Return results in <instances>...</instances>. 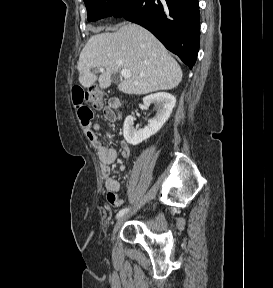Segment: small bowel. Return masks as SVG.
Segmentation results:
<instances>
[{"mask_svg": "<svg viewBox=\"0 0 273 288\" xmlns=\"http://www.w3.org/2000/svg\"><path fill=\"white\" fill-rule=\"evenodd\" d=\"M119 103L110 102L103 111L104 117L110 122H115L118 118L116 109ZM100 126L94 124L92 127L86 128V134L94 148L97 150L98 158L101 162V172L103 175L104 187L107 191V201L113 207H118L123 203L119 195L120 184L119 181L113 176L111 165L117 158V152L113 148L105 147L99 140L96 132ZM130 153L129 146L126 143L122 144V156L127 159Z\"/></svg>", "mask_w": 273, "mask_h": 288, "instance_id": "1", "label": "small bowel"}]
</instances>
